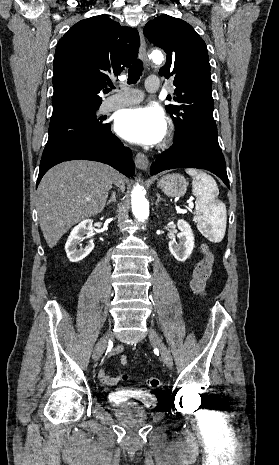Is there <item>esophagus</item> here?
I'll return each mask as SVG.
<instances>
[{
	"instance_id": "obj_1",
	"label": "esophagus",
	"mask_w": 279,
	"mask_h": 465,
	"mask_svg": "<svg viewBox=\"0 0 279 465\" xmlns=\"http://www.w3.org/2000/svg\"><path fill=\"white\" fill-rule=\"evenodd\" d=\"M139 36H140V48H139V55L143 62L147 65L148 64V57L146 51V43L144 39V35L142 30L138 29ZM135 165L138 169L146 171L149 167V160L148 157L143 153H138L135 157Z\"/></svg>"
}]
</instances>
